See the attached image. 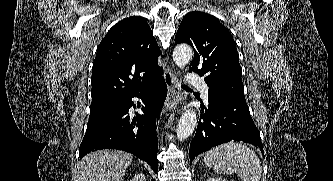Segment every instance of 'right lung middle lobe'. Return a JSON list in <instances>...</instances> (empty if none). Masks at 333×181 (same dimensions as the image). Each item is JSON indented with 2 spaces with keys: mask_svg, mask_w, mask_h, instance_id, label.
I'll return each mask as SVG.
<instances>
[{
  "mask_svg": "<svg viewBox=\"0 0 333 181\" xmlns=\"http://www.w3.org/2000/svg\"><path fill=\"white\" fill-rule=\"evenodd\" d=\"M108 108L109 107H106V108H103V109H98V110H91L89 118L94 117L95 115L100 114L101 112H103L104 110H106Z\"/></svg>",
  "mask_w": 333,
  "mask_h": 181,
  "instance_id": "right-lung-middle-lobe-1",
  "label": "right lung middle lobe"
}]
</instances>
